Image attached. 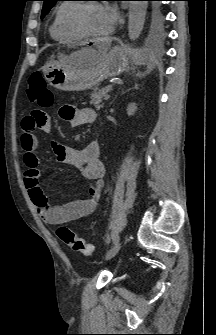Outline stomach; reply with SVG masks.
Instances as JSON below:
<instances>
[{"instance_id": "obj_1", "label": "stomach", "mask_w": 216, "mask_h": 335, "mask_svg": "<svg viewBox=\"0 0 216 335\" xmlns=\"http://www.w3.org/2000/svg\"><path fill=\"white\" fill-rule=\"evenodd\" d=\"M83 53L86 56L97 55V61L89 67L78 68L72 65L73 55ZM143 62L142 55L131 56L121 46L99 54L92 48H83L69 56H60L57 61L43 67L46 81L52 87L63 91H83L95 88L110 77L123 73L129 65Z\"/></svg>"}]
</instances>
